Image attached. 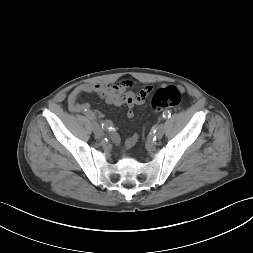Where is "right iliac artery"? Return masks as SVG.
Masks as SVG:
<instances>
[{"mask_svg": "<svg viewBox=\"0 0 253 253\" xmlns=\"http://www.w3.org/2000/svg\"><path fill=\"white\" fill-rule=\"evenodd\" d=\"M87 117L89 119H91V120H95V115H93V114H89V115H87ZM103 125L104 124H102V128H103ZM105 127H107V129H109V130H113L114 129L111 124L110 125H106Z\"/></svg>", "mask_w": 253, "mask_h": 253, "instance_id": "obj_1", "label": "right iliac artery"}]
</instances>
